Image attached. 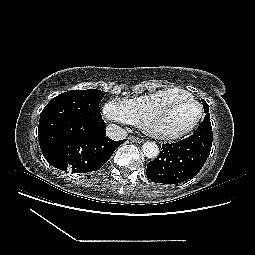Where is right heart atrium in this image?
<instances>
[{"mask_svg": "<svg viewBox=\"0 0 255 255\" xmlns=\"http://www.w3.org/2000/svg\"><path fill=\"white\" fill-rule=\"evenodd\" d=\"M103 115L106 119L124 125H134L131 113L122 100L111 99L103 106Z\"/></svg>", "mask_w": 255, "mask_h": 255, "instance_id": "obj_1", "label": "right heart atrium"}]
</instances>
